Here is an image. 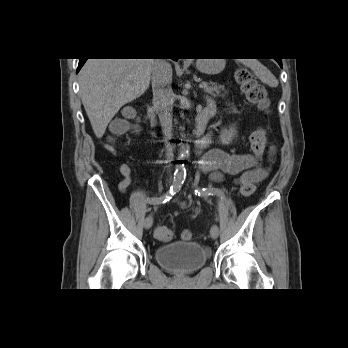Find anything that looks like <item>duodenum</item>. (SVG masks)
Here are the masks:
<instances>
[{
	"label": "duodenum",
	"instance_id": "duodenum-1",
	"mask_svg": "<svg viewBox=\"0 0 348 348\" xmlns=\"http://www.w3.org/2000/svg\"><path fill=\"white\" fill-rule=\"evenodd\" d=\"M213 113H214V105L205 106L204 109L197 116V123L193 131H194V134L204 143L206 142V134L204 129L206 127L207 122L213 115ZM148 118L153 125H157L156 111L154 107L149 108ZM202 146L203 145H200L199 147H202Z\"/></svg>",
	"mask_w": 348,
	"mask_h": 348
}]
</instances>
